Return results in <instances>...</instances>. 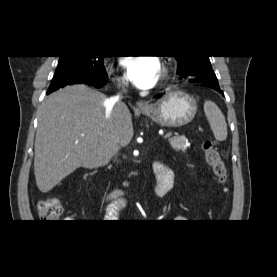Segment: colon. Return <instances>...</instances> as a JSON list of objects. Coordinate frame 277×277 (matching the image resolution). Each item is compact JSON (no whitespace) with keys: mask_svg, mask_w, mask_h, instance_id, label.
<instances>
[{"mask_svg":"<svg viewBox=\"0 0 277 277\" xmlns=\"http://www.w3.org/2000/svg\"><path fill=\"white\" fill-rule=\"evenodd\" d=\"M202 150L207 164L213 170L214 175L221 184H224L227 176V169L219 150L211 141H205ZM39 216L49 222L58 219L63 213V207L56 198H46L38 203Z\"/></svg>","mask_w":277,"mask_h":277,"instance_id":"colon-1","label":"colon"}]
</instances>
